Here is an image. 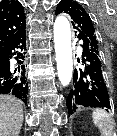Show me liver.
<instances>
[{"label":"liver","mask_w":117,"mask_h":136,"mask_svg":"<svg viewBox=\"0 0 117 136\" xmlns=\"http://www.w3.org/2000/svg\"><path fill=\"white\" fill-rule=\"evenodd\" d=\"M23 123V102L0 95V136H18Z\"/></svg>","instance_id":"1"}]
</instances>
